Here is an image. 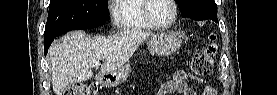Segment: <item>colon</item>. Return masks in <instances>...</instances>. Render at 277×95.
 Instances as JSON below:
<instances>
[{
    "mask_svg": "<svg viewBox=\"0 0 277 95\" xmlns=\"http://www.w3.org/2000/svg\"><path fill=\"white\" fill-rule=\"evenodd\" d=\"M210 44L206 49L194 54L189 60L191 71L198 76H206L212 72L217 55V35L211 33ZM98 87L95 84L77 83L66 90V95H92L97 94Z\"/></svg>",
    "mask_w": 277,
    "mask_h": 95,
    "instance_id": "1",
    "label": "colon"
}]
</instances>
